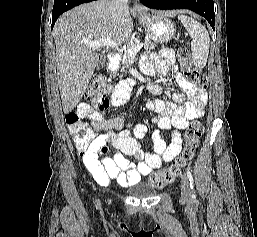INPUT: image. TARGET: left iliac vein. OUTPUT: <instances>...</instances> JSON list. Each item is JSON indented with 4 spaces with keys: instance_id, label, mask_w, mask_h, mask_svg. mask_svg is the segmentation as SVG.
<instances>
[{
    "instance_id": "4c4485c4",
    "label": "left iliac vein",
    "mask_w": 257,
    "mask_h": 237,
    "mask_svg": "<svg viewBox=\"0 0 257 237\" xmlns=\"http://www.w3.org/2000/svg\"><path fill=\"white\" fill-rule=\"evenodd\" d=\"M181 199L185 202L191 199L190 184L186 176H182L181 178Z\"/></svg>"
}]
</instances>
